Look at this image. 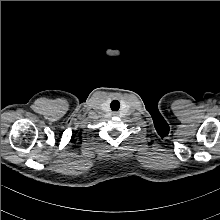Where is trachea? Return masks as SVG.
<instances>
[{"label":"trachea","mask_w":220,"mask_h":220,"mask_svg":"<svg viewBox=\"0 0 220 220\" xmlns=\"http://www.w3.org/2000/svg\"><path fill=\"white\" fill-rule=\"evenodd\" d=\"M110 107H111V110H112V111H118L119 108H120V103H119V101H118V100H113V101L111 102Z\"/></svg>","instance_id":"1"}]
</instances>
